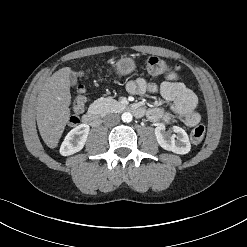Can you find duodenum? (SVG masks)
Instances as JSON below:
<instances>
[{
  "mask_svg": "<svg viewBox=\"0 0 247 247\" xmlns=\"http://www.w3.org/2000/svg\"><path fill=\"white\" fill-rule=\"evenodd\" d=\"M127 108L137 117H142L145 114V110L139 105L131 104ZM83 122L89 126L96 127L100 124L101 117L97 111L90 110L83 116Z\"/></svg>",
  "mask_w": 247,
  "mask_h": 247,
  "instance_id": "obj_1",
  "label": "duodenum"
}]
</instances>
